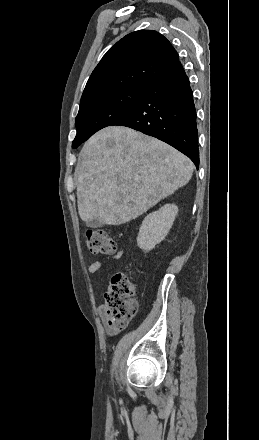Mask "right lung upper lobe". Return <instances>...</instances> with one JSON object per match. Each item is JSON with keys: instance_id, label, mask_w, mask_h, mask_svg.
<instances>
[{"instance_id": "obj_1", "label": "right lung upper lobe", "mask_w": 259, "mask_h": 440, "mask_svg": "<svg viewBox=\"0 0 259 440\" xmlns=\"http://www.w3.org/2000/svg\"><path fill=\"white\" fill-rule=\"evenodd\" d=\"M177 63L171 43L153 30L132 32L103 56L92 72L81 97L85 102L124 88H149Z\"/></svg>"}]
</instances>
